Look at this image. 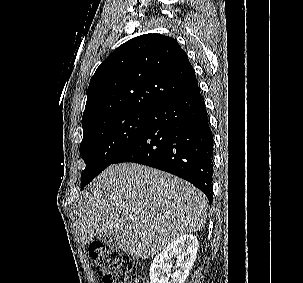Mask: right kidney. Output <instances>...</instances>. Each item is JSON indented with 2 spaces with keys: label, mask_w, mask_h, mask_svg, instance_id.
Returning a JSON list of instances; mask_svg holds the SVG:
<instances>
[{
  "label": "right kidney",
  "mask_w": 303,
  "mask_h": 283,
  "mask_svg": "<svg viewBox=\"0 0 303 283\" xmlns=\"http://www.w3.org/2000/svg\"><path fill=\"white\" fill-rule=\"evenodd\" d=\"M198 246V239L192 234L174 239L151 263L150 283H184L195 262ZM173 258H176L175 267ZM172 268H175L173 272Z\"/></svg>",
  "instance_id": "right-kidney-1"
}]
</instances>
